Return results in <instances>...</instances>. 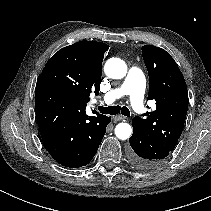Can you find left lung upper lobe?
Masks as SVG:
<instances>
[{
  "mask_svg": "<svg viewBox=\"0 0 211 211\" xmlns=\"http://www.w3.org/2000/svg\"><path fill=\"white\" fill-rule=\"evenodd\" d=\"M142 55L150 78L148 100H155L156 110L146 112L144 118L134 117L132 123L172 151L183 131L188 110L186 82L165 50L145 45Z\"/></svg>",
  "mask_w": 211,
  "mask_h": 211,
  "instance_id": "5c2ea615",
  "label": "left lung upper lobe"
}]
</instances>
